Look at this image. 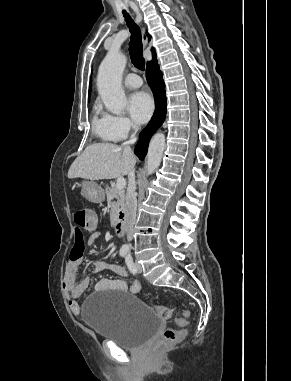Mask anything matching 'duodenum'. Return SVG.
Instances as JSON below:
<instances>
[{
    "label": "duodenum",
    "instance_id": "obj_1",
    "mask_svg": "<svg viewBox=\"0 0 291 381\" xmlns=\"http://www.w3.org/2000/svg\"><path fill=\"white\" fill-rule=\"evenodd\" d=\"M127 231V218L124 210L120 211L115 222V232L120 238L125 235Z\"/></svg>",
    "mask_w": 291,
    "mask_h": 381
}]
</instances>
